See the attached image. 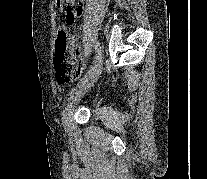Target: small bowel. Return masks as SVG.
Returning a JSON list of instances; mask_svg holds the SVG:
<instances>
[{
	"label": "small bowel",
	"instance_id": "small-bowel-1",
	"mask_svg": "<svg viewBox=\"0 0 207 179\" xmlns=\"http://www.w3.org/2000/svg\"><path fill=\"white\" fill-rule=\"evenodd\" d=\"M82 13H83V4L79 3L78 5L75 6L73 15L71 17V23H73V21L76 18L80 17L82 15ZM71 46H72L73 50H77L78 49V45H77L75 39H72Z\"/></svg>",
	"mask_w": 207,
	"mask_h": 179
}]
</instances>
